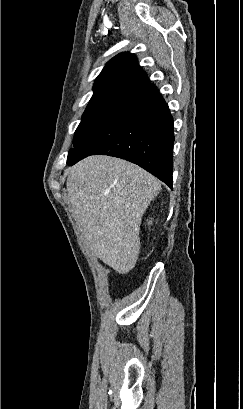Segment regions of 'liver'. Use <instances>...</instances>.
<instances>
[{"mask_svg": "<svg viewBox=\"0 0 243 409\" xmlns=\"http://www.w3.org/2000/svg\"><path fill=\"white\" fill-rule=\"evenodd\" d=\"M69 205L90 250L121 274L136 264L142 216L160 182L123 159L96 155L66 170Z\"/></svg>", "mask_w": 243, "mask_h": 409, "instance_id": "6515ba94", "label": "liver"}]
</instances>
